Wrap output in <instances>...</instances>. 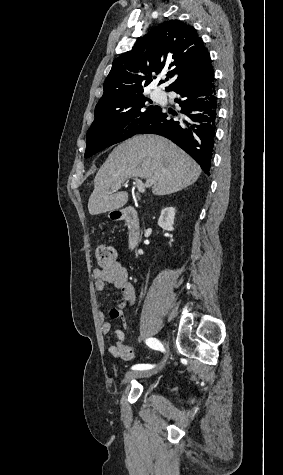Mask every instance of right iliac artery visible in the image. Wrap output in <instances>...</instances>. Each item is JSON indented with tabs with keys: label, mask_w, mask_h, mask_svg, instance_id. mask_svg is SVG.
Returning a JSON list of instances; mask_svg holds the SVG:
<instances>
[{
	"label": "right iliac artery",
	"mask_w": 283,
	"mask_h": 475,
	"mask_svg": "<svg viewBox=\"0 0 283 475\" xmlns=\"http://www.w3.org/2000/svg\"><path fill=\"white\" fill-rule=\"evenodd\" d=\"M146 344L152 348V349H155V350H160V351H164V347L163 345L161 344V342L159 340H157L156 338H149L146 340ZM154 366L151 365V364H137V365H134L132 367V369L134 370H145V369H151L153 368Z\"/></svg>",
	"instance_id": "obj_1"
}]
</instances>
